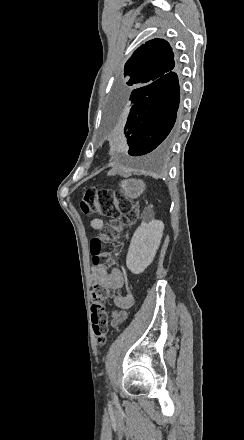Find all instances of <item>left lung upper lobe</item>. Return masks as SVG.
<instances>
[{"label":"left lung upper lobe","mask_w":244,"mask_h":440,"mask_svg":"<svg viewBox=\"0 0 244 440\" xmlns=\"http://www.w3.org/2000/svg\"><path fill=\"white\" fill-rule=\"evenodd\" d=\"M175 67L174 53L163 39H153L139 47L124 67L126 84L137 87L150 84Z\"/></svg>","instance_id":"left-lung-upper-lobe-1"}]
</instances>
